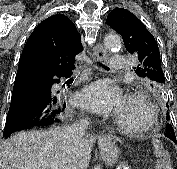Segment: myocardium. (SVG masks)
Segmentation results:
<instances>
[{"instance_id": "myocardium-1", "label": "myocardium", "mask_w": 177, "mask_h": 169, "mask_svg": "<svg viewBox=\"0 0 177 169\" xmlns=\"http://www.w3.org/2000/svg\"><path fill=\"white\" fill-rule=\"evenodd\" d=\"M126 102L139 105L145 111L146 118L140 124L130 125L124 123L118 116H116L114 122L119 130L126 134L139 135L147 133L156 127L158 121L157 110L145 95L137 92L130 93L126 97Z\"/></svg>"}]
</instances>
